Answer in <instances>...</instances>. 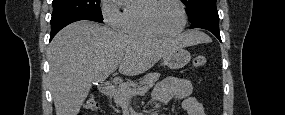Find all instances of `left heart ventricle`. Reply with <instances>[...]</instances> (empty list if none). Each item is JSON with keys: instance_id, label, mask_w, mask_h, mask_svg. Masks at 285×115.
Masks as SVG:
<instances>
[{"instance_id": "b2bd125f", "label": "left heart ventricle", "mask_w": 285, "mask_h": 115, "mask_svg": "<svg viewBox=\"0 0 285 115\" xmlns=\"http://www.w3.org/2000/svg\"><path fill=\"white\" fill-rule=\"evenodd\" d=\"M152 19L163 31H176L182 23L180 7L171 0L161 1L152 12Z\"/></svg>"}]
</instances>
